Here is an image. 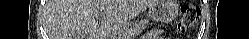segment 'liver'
I'll use <instances>...</instances> for the list:
<instances>
[{
  "mask_svg": "<svg viewBox=\"0 0 249 39\" xmlns=\"http://www.w3.org/2000/svg\"><path fill=\"white\" fill-rule=\"evenodd\" d=\"M157 0H49L50 39H113L131 19Z\"/></svg>",
  "mask_w": 249,
  "mask_h": 39,
  "instance_id": "liver-1",
  "label": "liver"
}]
</instances>
